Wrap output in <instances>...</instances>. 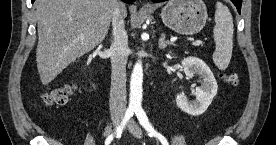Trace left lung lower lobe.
<instances>
[{
	"instance_id": "obj_1",
	"label": "left lung lower lobe",
	"mask_w": 276,
	"mask_h": 145,
	"mask_svg": "<svg viewBox=\"0 0 276 145\" xmlns=\"http://www.w3.org/2000/svg\"><path fill=\"white\" fill-rule=\"evenodd\" d=\"M152 1L153 2H163V1H166V0H152ZM231 1L237 7L238 12L240 13L242 0H231Z\"/></svg>"
}]
</instances>
